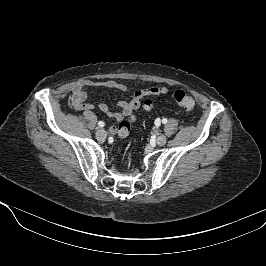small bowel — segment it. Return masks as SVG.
Segmentation results:
<instances>
[{
  "instance_id": "1",
  "label": "small bowel",
  "mask_w": 266,
  "mask_h": 266,
  "mask_svg": "<svg viewBox=\"0 0 266 266\" xmlns=\"http://www.w3.org/2000/svg\"><path fill=\"white\" fill-rule=\"evenodd\" d=\"M93 87H105L109 89L120 90L126 92L129 90V87L121 82L115 80H108L103 82L93 81V80H82L76 83L72 87L71 94V105L76 111H91L94 109V105L87 101L88 94L86 92L87 88ZM168 93V89L164 86H156L146 89H140L134 92L132 98L128 101H121L118 104V111H113L107 104L100 103L99 109L108 115L109 117L114 118L118 122L122 121L124 117L130 116L135 110L140 107L141 98L145 96H158ZM111 133L117 132V127L112 126L110 128Z\"/></svg>"
}]
</instances>
